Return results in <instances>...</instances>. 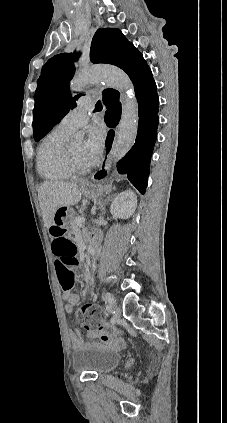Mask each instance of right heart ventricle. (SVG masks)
Masks as SVG:
<instances>
[{"label": "right heart ventricle", "instance_id": "e07e8e85", "mask_svg": "<svg viewBox=\"0 0 227 423\" xmlns=\"http://www.w3.org/2000/svg\"><path fill=\"white\" fill-rule=\"evenodd\" d=\"M71 133L56 126L39 143L37 148V171L46 180L59 181L71 176L66 144Z\"/></svg>", "mask_w": 227, "mask_h": 423}]
</instances>
